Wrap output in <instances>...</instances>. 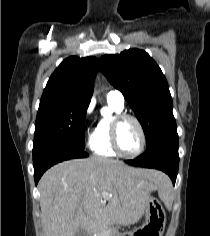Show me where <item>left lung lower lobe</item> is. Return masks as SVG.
<instances>
[{
    "label": "left lung lower lobe",
    "mask_w": 210,
    "mask_h": 236,
    "mask_svg": "<svg viewBox=\"0 0 210 236\" xmlns=\"http://www.w3.org/2000/svg\"><path fill=\"white\" fill-rule=\"evenodd\" d=\"M126 162L138 167L162 170L169 175L175 184L179 167L177 130L159 136L147 146L146 151L141 156Z\"/></svg>",
    "instance_id": "obj_1"
}]
</instances>
